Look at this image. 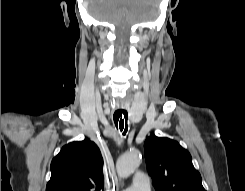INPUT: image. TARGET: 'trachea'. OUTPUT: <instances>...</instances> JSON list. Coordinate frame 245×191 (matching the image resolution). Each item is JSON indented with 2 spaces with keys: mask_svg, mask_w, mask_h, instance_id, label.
I'll list each match as a JSON object with an SVG mask.
<instances>
[{
  "mask_svg": "<svg viewBox=\"0 0 245 191\" xmlns=\"http://www.w3.org/2000/svg\"><path fill=\"white\" fill-rule=\"evenodd\" d=\"M114 123L121 135L125 136L128 131V112L124 108H119L113 115Z\"/></svg>",
  "mask_w": 245,
  "mask_h": 191,
  "instance_id": "obj_1",
  "label": "trachea"
}]
</instances>
